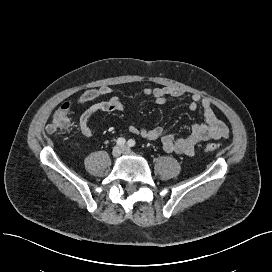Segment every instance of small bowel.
<instances>
[{"label": "small bowel", "instance_id": "obj_1", "mask_svg": "<svg viewBox=\"0 0 272 272\" xmlns=\"http://www.w3.org/2000/svg\"><path fill=\"white\" fill-rule=\"evenodd\" d=\"M143 92L146 96L152 97L158 104L163 103L168 97L178 98L186 94L185 91L179 87H147ZM112 93V87L101 86L88 89L80 96L79 103L81 104L101 99L90 105L79 118V128L85 137L90 138L94 136V131L90 127L89 120L96 112H122L124 110V105L120 98L111 96ZM63 106H68L71 110L73 103L66 102L62 107ZM189 108L192 111L200 108L203 112L204 121L192 125L187 136H177L174 133L163 135L161 127L148 129L143 126L131 125L128 131L148 140L161 139L162 147L166 152H175L185 155L194 154L195 146L199 142L227 138L229 136V129L227 125L217 117L214 104L211 100L203 99L199 95H192L189 101Z\"/></svg>", "mask_w": 272, "mask_h": 272}]
</instances>
